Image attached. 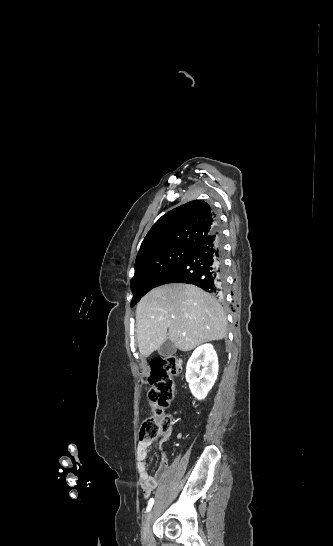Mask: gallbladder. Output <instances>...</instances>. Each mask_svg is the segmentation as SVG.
I'll list each match as a JSON object with an SVG mask.
<instances>
[{
  "label": "gallbladder",
  "mask_w": 333,
  "mask_h": 546,
  "mask_svg": "<svg viewBox=\"0 0 333 546\" xmlns=\"http://www.w3.org/2000/svg\"><path fill=\"white\" fill-rule=\"evenodd\" d=\"M176 346L171 341H166L159 349L158 354L162 357H170L176 353Z\"/></svg>",
  "instance_id": "gallbladder-1"
}]
</instances>
